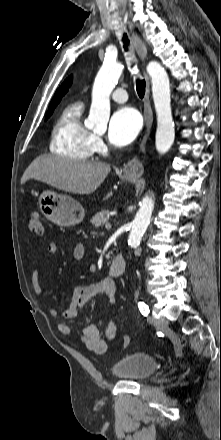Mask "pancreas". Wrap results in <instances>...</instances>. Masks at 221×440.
Listing matches in <instances>:
<instances>
[{"mask_svg":"<svg viewBox=\"0 0 221 440\" xmlns=\"http://www.w3.org/2000/svg\"><path fill=\"white\" fill-rule=\"evenodd\" d=\"M109 211L106 209L101 210L100 212L96 213L92 219H91V224L95 227H101L102 225H104L108 219H109Z\"/></svg>","mask_w":221,"mask_h":440,"instance_id":"pancreas-1","label":"pancreas"}]
</instances>
